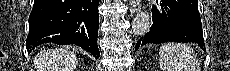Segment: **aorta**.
I'll return each mask as SVG.
<instances>
[{
    "instance_id": "aorta-1",
    "label": "aorta",
    "mask_w": 230,
    "mask_h": 71,
    "mask_svg": "<svg viewBox=\"0 0 230 71\" xmlns=\"http://www.w3.org/2000/svg\"><path fill=\"white\" fill-rule=\"evenodd\" d=\"M151 27V19L147 11H140L132 22V32L137 36H144Z\"/></svg>"
}]
</instances>
